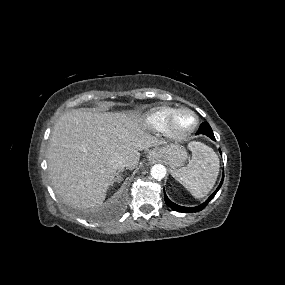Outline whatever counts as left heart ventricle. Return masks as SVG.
I'll list each match as a JSON object with an SVG mask.
<instances>
[{"label": "left heart ventricle", "instance_id": "left-heart-ventricle-1", "mask_svg": "<svg viewBox=\"0 0 285 285\" xmlns=\"http://www.w3.org/2000/svg\"><path fill=\"white\" fill-rule=\"evenodd\" d=\"M192 122V119L190 116H184L179 120V125L183 128L188 127Z\"/></svg>", "mask_w": 285, "mask_h": 285}]
</instances>
